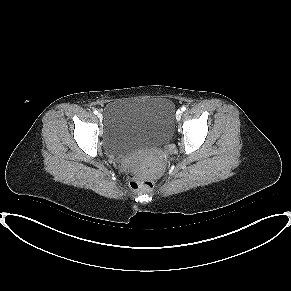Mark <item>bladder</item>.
Segmentation results:
<instances>
[{
    "label": "bladder",
    "instance_id": "obj_1",
    "mask_svg": "<svg viewBox=\"0 0 291 291\" xmlns=\"http://www.w3.org/2000/svg\"><path fill=\"white\" fill-rule=\"evenodd\" d=\"M104 148L124 155L162 145L174 130V104L165 97L117 100L102 114Z\"/></svg>",
    "mask_w": 291,
    "mask_h": 291
}]
</instances>
